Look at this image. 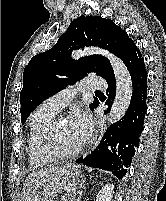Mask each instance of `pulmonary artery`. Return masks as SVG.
<instances>
[{"instance_id": "obj_1", "label": "pulmonary artery", "mask_w": 166, "mask_h": 201, "mask_svg": "<svg viewBox=\"0 0 166 201\" xmlns=\"http://www.w3.org/2000/svg\"><path fill=\"white\" fill-rule=\"evenodd\" d=\"M106 82L98 77H88L84 79L80 84L76 86L68 87L57 94L48 98L44 103L43 107L59 112L64 108L76 95L77 91L81 89H105Z\"/></svg>"}]
</instances>
